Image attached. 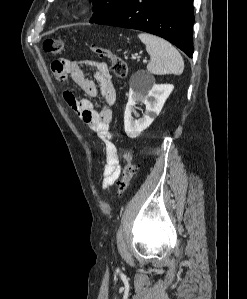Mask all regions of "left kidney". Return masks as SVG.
Masks as SVG:
<instances>
[{
	"label": "left kidney",
	"instance_id": "obj_1",
	"mask_svg": "<svg viewBox=\"0 0 247 299\" xmlns=\"http://www.w3.org/2000/svg\"><path fill=\"white\" fill-rule=\"evenodd\" d=\"M173 89L174 86L171 84H155L147 91L134 87L130 89L128 103L124 112V129L129 138H136L152 124L156 116L161 112L166 99ZM139 103L145 105L146 111L142 118L134 120L132 113L138 116L134 108Z\"/></svg>",
	"mask_w": 247,
	"mask_h": 299
}]
</instances>
